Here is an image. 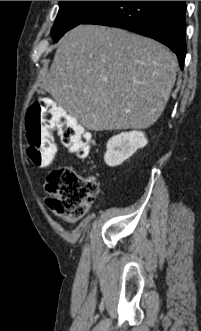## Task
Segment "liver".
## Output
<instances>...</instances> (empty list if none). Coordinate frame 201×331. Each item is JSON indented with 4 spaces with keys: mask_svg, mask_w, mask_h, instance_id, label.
Wrapping results in <instances>:
<instances>
[{
    "mask_svg": "<svg viewBox=\"0 0 201 331\" xmlns=\"http://www.w3.org/2000/svg\"><path fill=\"white\" fill-rule=\"evenodd\" d=\"M178 63L163 44L79 25L60 41L41 88L89 130L146 129L160 117Z\"/></svg>",
    "mask_w": 201,
    "mask_h": 331,
    "instance_id": "obj_1",
    "label": "liver"
}]
</instances>
